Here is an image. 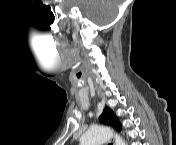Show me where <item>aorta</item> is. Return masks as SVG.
I'll return each mask as SVG.
<instances>
[{
  "instance_id": "1",
  "label": "aorta",
  "mask_w": 176,
  "mask_h": 145,
  "mask_svg": "<svg viewBox=\"0 0 176 145\" xmlns=\"http://www.w3.org/2000/svg\"><path fill=\"white\" fill-rule=\"evenodd\" d=\"M115 139L116 145H126L125 140L118 134L114 133L106 126H94L88 129L81 137L82 145H103L110 138Z\"/></svg>"
}]
</instances>
